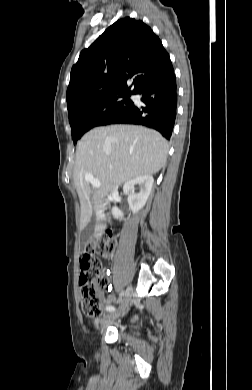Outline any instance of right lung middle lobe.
I'll return each mask as SVG.
<instances>
[{"label":"right lung middle lobe","instance_id":"obj_1","mask_svg":"<svg viewBox=\"0 0 252 390\" xmlns=\"http://www.w3.org/2000/svg\"><path fill=\"white\" fill-rule=\"evenodd\" d=\"M120 98H123L121 100ZM129 94H118L79 105L68 111L74 143L91 128L106 125L132 106Z\"/></svg>","mask_w":252,"mask_h":390}]
</instances>
